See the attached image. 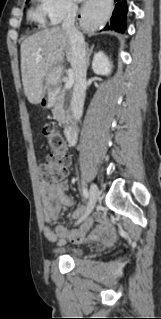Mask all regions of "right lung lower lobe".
I'll return each instance as SVG.
<instances>
[{
    "label": "right lung lower lobe",
    "mask_w": 161,
    "mask_h": 319,
    "mask_svg": "<svg viewBox=\"0 0 161 319\" xmlns=\"http://www.w3.org/2000/svg\"><path fill=\"white\" fill-rule=\"evenodd\" d=\"M115 7L110 22L105 26V30H115L124 33L127 5L126 0H114Z\"/></svg>",
    "instance_id": "obj_1"
}]
</instances>
